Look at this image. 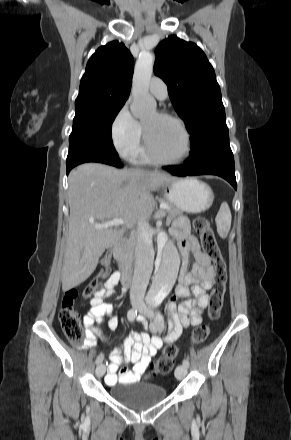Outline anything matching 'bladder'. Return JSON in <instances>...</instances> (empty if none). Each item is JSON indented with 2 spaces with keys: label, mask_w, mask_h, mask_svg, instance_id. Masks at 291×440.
I'll use <instances>...</instances> for the list:
<instances>
[{
  "label": "bladder",
  "mask_w": 291,
  "mask_h": 440,
  "mask_svg": "<svg viewBox=\"0 0 291 440\" xmlns=\"http://www.w3.org/2000/svg\"><path fill=\"white\" fill-rule=\"evenodd\" d=\"M110 395L116 402L134 408L146 407L163 401L164 387L144 380H132L111 386Z\"/></svg>",
  "instance_id": "31cf9c89"
}]
</instances>
